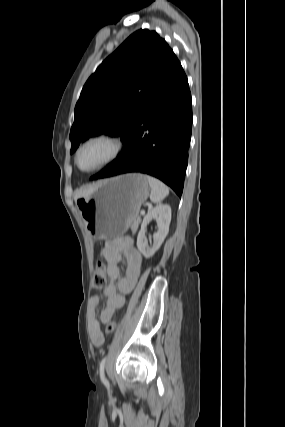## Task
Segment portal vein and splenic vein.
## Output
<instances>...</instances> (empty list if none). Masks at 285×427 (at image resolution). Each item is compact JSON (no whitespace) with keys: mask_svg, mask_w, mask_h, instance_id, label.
Returning a JSON list of instances; mask_svg holds the SVG:
<instances>
[{"mask_svg":"<svg viewBox=\"0 0 285 427\" xmlns=\"http://www.w3.org/2000/svg\"><path fill=\"white\" fill-rule=\"evenodd\" d=\"M140 214L145 215V210H141Z\"/></svg>","mask_w":285,"mask_h":427,"instance_id":"obj_1","label":"portal vein and splenic vein"}]
</instances>
